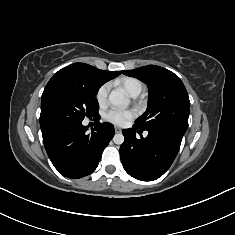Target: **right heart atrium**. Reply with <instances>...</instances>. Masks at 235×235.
<instances>
[{
    "mask_svg": "<svg viewBox=\"0 0 235 235\" xmlns=\"http://www.w3.org/2000/svg\"><path fill=\"white\" fill-rule=\"evenodd\" d=\"M109 90H110L109 83H105L98 88V90L96 92V100L99 105H103L106 103Z\"/></svg>",
    "mask_w": 235,
    "mask_h": 235,
    "instance_id": "d8ad5b80",
    "label": "right heart atrium"
}]
</instances>
